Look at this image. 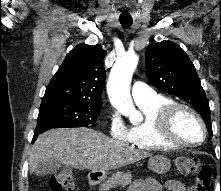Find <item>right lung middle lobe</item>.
I'll return each mask as SVG.
<instances>
[{"label":"right lung middle lobe","mask_w":221,"mask_h":191,"mask_svg":"<svg viewBox=\"0 0 221 191\" xmlns=\"http://www.w3.org/2000/svg\"><path fill=\"white\" fill-rule=\"evenodd\" d=\"M102 103L65 101L41 104L35 132L95 124Z\"/></svg>","instance_id":"obj_1"}]
</instances>
